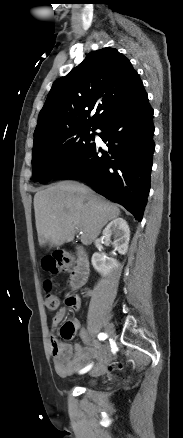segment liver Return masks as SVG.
<instances>
[{
	"label": "liver",
	"instance_id": "1",
	"mask_svg": "<svg viewBox=\"0 0 183 438\" xmlns=\"http://www.w3.org/2000/svg\"><path fill=\"white\" fill-rule=\"evenodd\" d=\"M34 210L40 246L49 242L56 247L73 241L76 229L82 232L81 242L90 245L120 214L117 205L76 181L58 182L38 191Z\"/></svg>",
	"mask_w": 183,
	"mask_h": 438
}]
</instances>
